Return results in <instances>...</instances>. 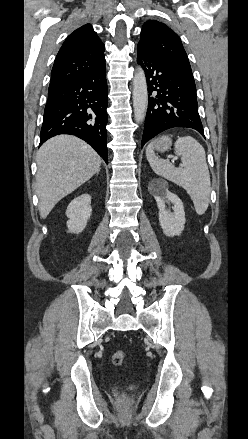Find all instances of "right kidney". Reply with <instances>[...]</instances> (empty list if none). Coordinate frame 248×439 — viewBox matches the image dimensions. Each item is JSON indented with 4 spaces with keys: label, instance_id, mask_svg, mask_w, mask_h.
<instances>
[{
    "label": "right kidney",
    "instance_id": "1",
    "mask_svg": "<svg viewBox=\"0 0 248 439\" xmlns=\"http://www.w3.org/2000/svg\"><path fill=\"white\" fill-rule=\"evenodd\" d=\"M92 212L91 196L87 193L74 198L67 207L66 215L68 232L81 233L90 219Z\"/></svg>",
    "mask_w": 248,
    "mask_h": 439
}]
</instances>
